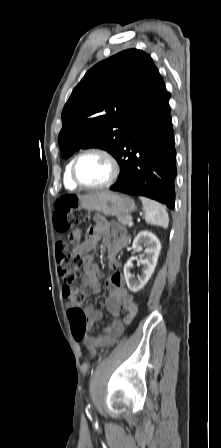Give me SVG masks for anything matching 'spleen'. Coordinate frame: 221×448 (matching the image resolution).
I'll list each match as a JSON object with an SVG mask.
<instances>
[{
	"label": "spleen",
	"instance_id": "spleen-1",
	"mask_svg": "<svg viewBox=\"0 0 221 448\" xmlns=\"http://www.w3.org/2000/svg\"><path fill=\"white\" fill-rule=\"evenodd\" d=\"M143 211L145 212V221L148 224L167 228L169 224L168 213L163 205L157 201L142 197Z\"/></svg>",
	"mask_w": 221,
	"mask_h": 448
}]
</instances>
